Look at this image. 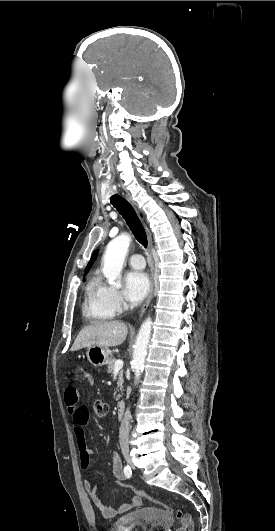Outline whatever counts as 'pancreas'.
<instances>
[{
  "mask_svg": "<svg viewBox=\"0 0 275 531\" xmlns=\"http://www.w3.org/2000/svg\"><path fill=\"white\" fill-rule=\"evenodd\" d=\"M115 361H117V359H111V361H109L107 373H113ZM123 383H124L123 371H120V373H118L117 389L114 393V399H116V401L120 399V395H117L116 397V393H119V389H123Z\"/></svg>",
  "mask_w": 275,
  "mask_h": 531,
  "instance_id": "1",
  "label": "pancreas"
}]
</instances>
